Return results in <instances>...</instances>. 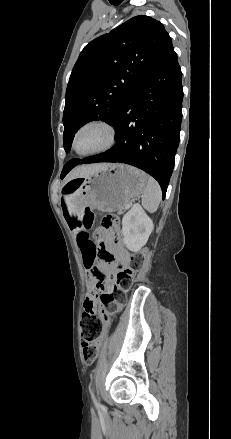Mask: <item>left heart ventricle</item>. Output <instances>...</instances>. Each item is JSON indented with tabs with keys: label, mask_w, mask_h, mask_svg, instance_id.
<instances>
[{
	"label": "left heart ventricle",
	"mask_w": 231,
	"mask_h": 439,
	"mask_svg": "<svg viewBox=\"0 0 231 439\" xmlns=\"http://www.w3.org/2000/svg\"><path fill=\"white\" fill-rule=\"evenodd\" d=\"M105 132L96 127L87 128L80 133L76 146L79 151L86 152L100 147L105 142Z\"/></svg>",
	"instance_id": "1"
}]
</instances>
